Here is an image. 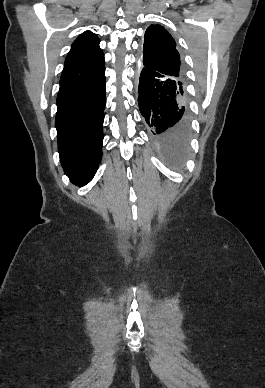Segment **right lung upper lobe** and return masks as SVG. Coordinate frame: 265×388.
I'll use <instances>...</instances> for the list:
<instances>
[{"instance_id":"obj_1","label":"right lung upper lobe","mask_w":265,"mask_h":388,"mask_svg":"<svg viewBox=\"0 0 265 388\" xmlns=\"http://www.w3.org/2000/svg\"><path fill=\"white\" fill-rule=\"evenodd\" d=\"M99 42V38L90 31H85L74 41L65 60L60 87L88 81L105 72L104 54Z\"/></svg>"}]
</instances>
